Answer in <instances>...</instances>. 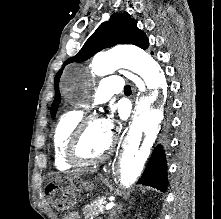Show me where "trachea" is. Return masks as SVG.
Listing matches in <instances>:
<instances>
[{
    "label": "trachea",
    "mask_w": 221,
    "mask_h": 219,
    "mask_svg": "<svg viewBox=\"0 0 221 219\" xmlns=\"http://www.w3.org/2000/svg\"><path fill=\"white\" fill-rule=\"evenodd\" d=\"M124 93H125V94H131V87H130L129 85H126V86L124 87Z\"/></svg>",
    "instance_id": "obj_1"
}]
</instances>
